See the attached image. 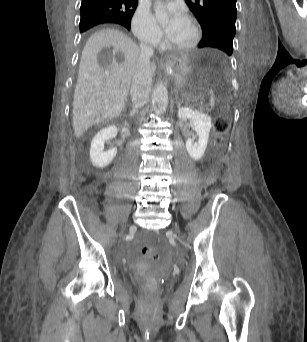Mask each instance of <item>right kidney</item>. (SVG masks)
<instances>
[{"mask_svg":"<svg viewBox=\"0 0 307 342\" xmlns=\"http://www.w3.org/2000/svg\"><path fill=\"white\" fill-rule=\"evenodd\" d=\"M117 136V128L116 126H108V128H103L100 130L96 136H94L91 142L90 148V160L91 164L95 166V168H107L109 164H111L113 158H115L117 154V148H111V150H107L104 152V144L110 138H116Z\"/></svg>","mask_w":307,"mask_h":342,"instance_id":"ca27d5eb","label":"right kidney"}]
</instances>
